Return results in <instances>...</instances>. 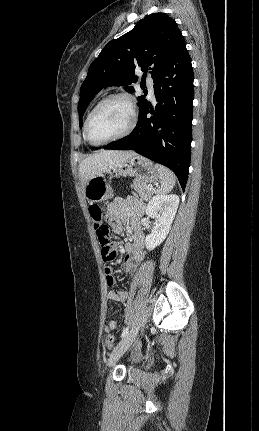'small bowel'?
Returning <instances> with one entry per match:
<instances>
[{
    "label": "small bowel",
    "instance_id": "obj_1",
    "mask_svg": "<svg viewBox=\"0 0 259 431\" xmlns=\"http://www.w3.org/2000/svg\"><path fill=\"white\" fill-rule=\"evenodd\" d=\"M143 205L133 197L116 198L107 207V216L114 232H121L124 225H129L131 230L130 241L124 245L125 256L123 258V270L133 275L138 265L144 259L145 237L140 223V215ZM106 282L109 287L115 286L112 267L105 268ZM128 293L126 291L110 290L107 298L115 302H125ZM105 331L111 332L118 328V321L110 320L105 324Z\"/></svg>",
    "mask_w": 259,
    "mask_h": 431
}]
</instances>
